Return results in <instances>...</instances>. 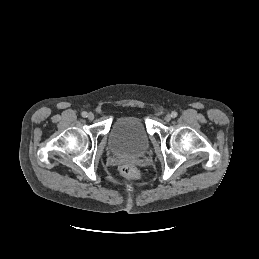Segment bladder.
Listing matches in <instances>:
<instances>
[{
  "label": "bladder",
  "mask_w": 259,
  "mask_h": 259,
  "mask_svg": "<svg viewBox=\"0 0 259 259\" xmlns=\"http://www.w3.org/2000/svg\"><path fill=\"white\" fill-rule=\"evenodd\" d=\"M108 143L115 153H144L149 146V134L143 118L136 114L118 117L111 127Z\"/></svg>",
  "instance_id": "1"
}]
</instances>
